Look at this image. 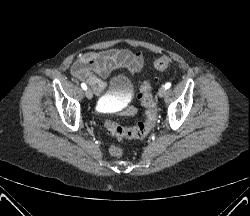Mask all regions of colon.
Returning a JSON list of instances; mask_svg holds the SVG:
<instances>
[{"instance_id": "5ec220e1", "label": "colon", "mask_w": 250, "mask_h": 216, "mask_svg": "<svg viewBox=\"0 0 250 216\" xmlns=\"http://www.w3.org/2000/svg\"><path fill=\"white\" fill-rule=\"evenodd\" d=\"M172 66V59L163 55L154 62V67L159 71H164ZM139 100L145 108L144 118L133 126L124 127L120 124L106 119L104 125L106 129L119 139H136L147 136L153 129L157 118V107L152 95L151 82L145 80L139 91ZM109 152L114 157L122 155V149L117 145H112Z\"/></svg>"}]
</instances>
